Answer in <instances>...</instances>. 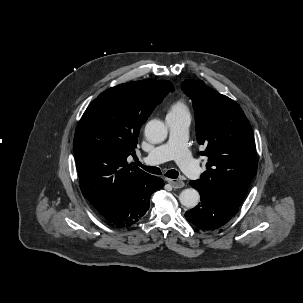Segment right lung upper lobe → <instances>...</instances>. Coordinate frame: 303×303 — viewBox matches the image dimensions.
Listing matches in <instances>:
<instances>
[{"instance_id": "1", "label": "right lung upper lobe", "mask_w": 303, "mask_h": 303, "mask_svg": "<svg viewBox=\"0 0 303 303\" xmlns=\"http://www.w3.org/2000/svg\"><path fill=\"white\" fill-rule=\"evenodd\" d=\"M170 81L146 79L112 87L86 109L75 132L73 151L83 196L98 211L116 193L149 174L127 164L141 126L163 98Z\"/></svg>"}]
</instances>
